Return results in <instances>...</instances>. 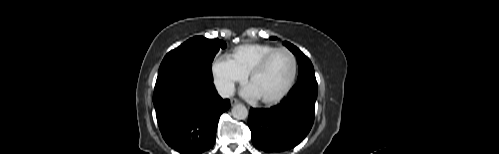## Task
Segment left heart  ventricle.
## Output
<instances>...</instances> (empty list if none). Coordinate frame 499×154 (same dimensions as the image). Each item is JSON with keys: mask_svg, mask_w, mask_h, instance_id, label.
Masks as SVG:
<instances>
[{"mask_svg": "<svg viewBox=\"0 0 499 154\" xmlns=\"http://www.w3.org/2000/svg\"><path fill=\"white\" fill-rule=\"evenodd\" d=\"M292 72V62L286 53H277L263 71L254 76L250 83L260 99L278 95L288 83Z\"/></svg>", "mask_w": 499, "mask_h": 154, "instance_id": "b2bd125f", "label": "left heart ventricle"}]
</instances>
